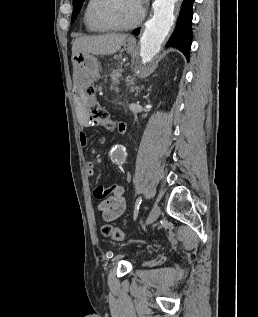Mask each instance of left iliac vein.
Instances as JSON below:
<instances>
[{
    "mask_svg": "<svg viewBox=\"0 0 258 317\" xmlns=\"http://www.w3.org/2000/svg\"><path fill=\"white\" fill-rule=\"evenodd\" d=\"M160 207H159V205H154V207L150 210V213H149V215H148V222L146 221L145 223L147 224V223H149V224H154L155 223V219H157L159 216H160ZM143 224L144 226L146 225V224Z\"/></svg>",
    "mask_w": 258,
    "mask_h": 317,
    "instance_id": "obj_1",
    "label": "left iliac vein"
}]
</instances>
